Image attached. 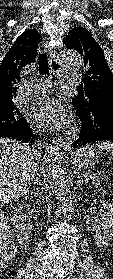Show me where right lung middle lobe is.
<instances>
[{"label": "right lung middle lobe", "mask_w": 113, "mask_h": 279, "mask_svg": "<svg viewBox=\"0 0 113 279\" xmlns=\"http://www.w3.org/2000/svg\"><path fill=\"white\" fill-rule=\"evenodd\" d=\"M26 122L27 120L14 103L0 108V129L18 126Z\"/></svg>", "instance_id": "1"}]
</instances>
